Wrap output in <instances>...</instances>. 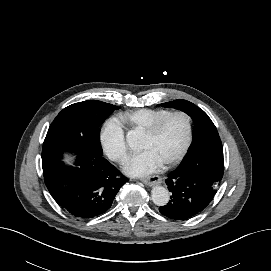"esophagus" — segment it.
Here are the masks:
<instances>
[{
	"instance_id": "1",
	"label": "esophagus",
	"mask_w": 271,
	"mask_h": 271,
	"mask_svg": "<svg viewBox=\"0 0 271 271\" xmlns=\"http://www.w3.org/2000/svg\"><path fill=\"white\" fill-rule=\"evenodd\" d=\"M141 181L148 185V186H152L154 184H159L162 182V178L158 175H154V176H150L148 178H142Z\"/></svg>"
}]
</instances>
